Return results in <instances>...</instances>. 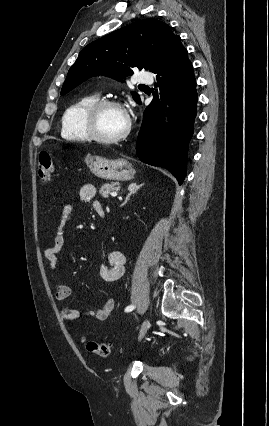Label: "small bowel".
<instances>
[{
	"label": "small bowel",
	"mask_w": 269,
	"mask_h": 426,
	"mask_svg": "<svg viewBox=\"0 0 269 426\" xmlns=\"http://www.w3.org/2000/svg\"><path fill=\"white\" fill-rule=\"evenodd\" d=\"M97 189L92 184L83 185L78 192L77 201L88 202L95 198ZM98 208L97 203L94 204ZM73 208L72 204H65L60 212L59 220L53 231V245L44 250V257L48 264L49 276L54 284L55 299L60 304V315L65 321H77L83 318H92L97 321H103L111 314L115 308V300L108 299L97 310H78L67 307L64 305L65 301L70 295L68 286L60 283L56 277V270L58 267V254L63 251L65 246V237L63 233V226L67 217ZM126 258L122 251L113 250L107 253L106 261L101 266L100 275L105 281H116L122 278L125 270Z\"/></svg>",
	"instance_id": "1"
}]
</instances>
